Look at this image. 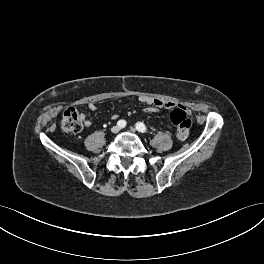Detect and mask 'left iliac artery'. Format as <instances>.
<instances>
[{
    "label": "left iliac artery",
    "mask_w": 264,
    "mask_h": 264,
    "mask_svg": "<svg viewBox=\"0 0 264 264\" xmlns=\"http://www.w3.org/2000/svg\"><path fill=\"white\" fill-rule=\"evenodd\" d=\"M136 129H137L139 132H142V133H146V132H147V127H146L145 124H143L142 122H138V123H136Z\"/></svg>",
    "instance_id": "left-iliac-artery-1"
}]
</instances>
